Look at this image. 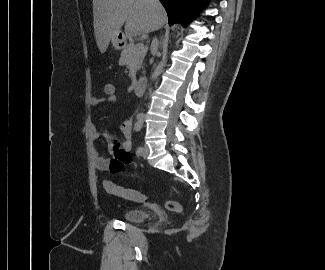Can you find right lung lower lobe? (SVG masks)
I'll use <instances>...</instances> for the list:
<instances>
[{
    "mask_svg": "<svg viewBox=\"0 0 325 270\" xmlns=\"http://www.w3.org/2000/svg\"><path fill=\"white\" fill-rule=\"evenodd\" d=\"M160 2L168 14L169 24L172 25L176 20L188 23L197 14V10L206 6L209 0H160Z\"/></svg>",
    "mask_w": 325,
    "mask_h": 270,
    "instance_id": "98d812e1",
    "label": "right lung lower lobe"
}]
</instances>
